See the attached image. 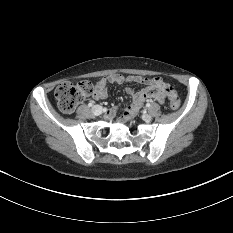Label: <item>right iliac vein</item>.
Listing matches in <instances>:
<instances>
[{
	"label": "right iliac vein",
	"mask_w": 233,
	"mask_h": 233,
	"mask_svg": "<svg viewBox=\"0 0 233 233\" xmlns=\"http://www.w3.org/2000/svg\"><path fill=\"white\" fill-rule=\"evenodd\" d=\"M92 112H93L94 115H99L102 112V107L99 106V105H94L92 107Z\"/></svg>",
	"instance_id": "1"
}]
</instances>
